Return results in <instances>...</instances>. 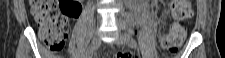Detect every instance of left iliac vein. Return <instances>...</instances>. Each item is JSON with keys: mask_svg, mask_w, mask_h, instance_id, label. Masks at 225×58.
I'll return each instance as SVG.
<instances>
[{"mask_svg": "<svg viewBox=\"0 0 225 58\" xmlns=\"http://www.w3.org/2000/svg\"><path fill=\"white\" fill-rule=\"evenodd\" d=\"M115 42L118 45H126L128 43V37H126L124 34L119 33Z\"/></svg>", "mask_w": 225, "mask_h": 58, "instance_id": "1", "label": "left iliac vein"}]
</instances>
